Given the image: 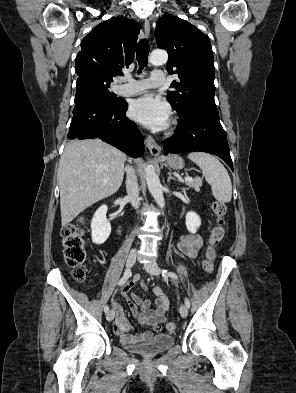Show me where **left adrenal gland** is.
Instances as JSON below:
<instances>
[{
  "label": "left adrenal gland",
  "mask_w": 296,
  "mask_h": 393,
  "mask_svg": "<svg viewBox=\"0 0 296 393\" xmlns=\"http://www.w3.org/2000/svg\"><path fill=\"white\" fill-rule=\"evenodd\" d=\"M170 180L177 181V179H176V178H174V177L172 176L171 172H168V179H167V182L169 183V182H170Z\"/></svg>",
  "instance_id": "obj_1"
}]
</instances>
